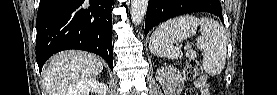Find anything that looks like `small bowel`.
I'll use <instances>...</instances> for the list:
<instances>
[{
    "mask_svg": "<svg viewBox=\"0 0 277 95\" xmlns=\"http://www.w3.org/2000/svg\"><path fill=\"white\" fill-rule=\"evenodd\" d=\"M199 82L203 81V78L198 79Z\"/></svg>",
    "mask_w": 277,
    "mask_h": 95,
    "instance_id": "1",
    "label": "small bowel"
}]
</instances>
